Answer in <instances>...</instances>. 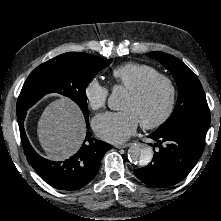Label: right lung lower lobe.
Wrapping results in <instances>:
<instances>
[{"mask_svg":"<svg viewBox=\"0 0 221 221\" xmlns=\"http://www.w3.org/2000/svg\"><path fill=\"white\" fill-rule=\"evenodd\" d=\"M25 116L26 112L18 117L21 141L27 161L40 177L52 187L65 191L78 190L88 184L98 172L103 155L112 146L92 138L87 132L82 147L75 155L63 162L47 160L38 155L29 143L24 130ZM86 125L89 129L88 119Z\"/></svg>","mask_w":221,"mask_h":221,"instance_id":"1","label":"right lung lower lobe"}]
</instances>
